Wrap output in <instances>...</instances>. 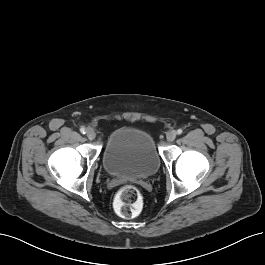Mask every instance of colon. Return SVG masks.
<instances>
[{"label": "colon", "mask_w": 265, "mask_h": 265, "mask_svg": "<svg viewBox=\"0 0 265 265\" xmlns=\"http://www.w3.org/2000/svg\"><path fill=\"white\" fill-rule=\"evenodd\" d=\"M117 212L126 218L134 217L141 207V195L133 185L122 186L114 200Z\"/></svg>", "instance_id": "colon-1"}]
</instances>
